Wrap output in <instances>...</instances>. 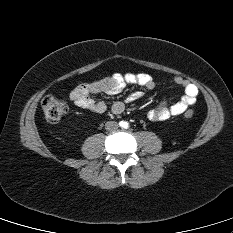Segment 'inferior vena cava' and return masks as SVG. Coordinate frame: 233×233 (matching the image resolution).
I'll use <instances>...</instances> for the list:
<instances>
[{
  "label": "inferior vena cava",
  "instance_id": "obj_1",
  "mask_svg": "<svg viewBox=\"0 0 233 233\" xmlns=\"http://www.w3.org/2000/svg\"><path fill=\"white\" fill-rule=\"evenodd\" d=\"M105 128L106 130L108 131H114L118 128V123L115 122V121H108L106 124H105Z\"/></svg>",
  "mask_w": 233,
  "mask_h": 233
}]
</instances>
